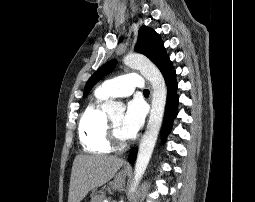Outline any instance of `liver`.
Returning <instances> with one entry per match:
<instances>
[{"mask_svg":"<svg viewBox=\"0 0 255 202\" xmlns=\"http://www.w3.org/2000/svg\"><path fill=\"white\" fill-rule=\"evenodd\" d=\"M124 163L116 156L78 155L72 166L68 202H80L90 190L109 181Z\"/></svg>","mask_w":255,"mask_h":202,"instance_id":"1","label":"liver"}]
</instances>
